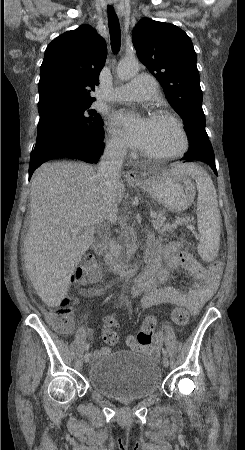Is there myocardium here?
Instances as JSON below:
<instances>
[{"instance_id":"1","label":"myocardium","mask_w":245,"mask_h":450,"mask_svg":"<svg viewBox=\"0 0 245 450\" xmlns=\"http://www.w3.org/2000/svg\"><path fill=\"white\" fill-rule=\"evenodd\" d=\"M153 120H165L170 122L172 125L175 126V128L178 130L181 136V145L180 147L173 152L170 153H153V152H146L142 151V154L144 156L150 157L152 159L158 160V161H169L176 158H179L186 154V152L189 149L190 141L188 134L185 130V127L183 123L180 121L178 117H176L174 114L167 110H161L153 113L152 115Z\"/></svg>"}]
</instances>
